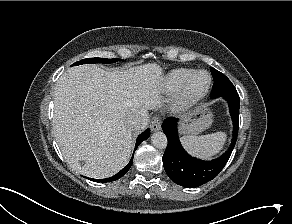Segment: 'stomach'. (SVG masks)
Wrapping results in <instances>:
<instances>
[{
	"instance_id": "obj_1",
	"label": "stomach",
	"mask_w": 292,
	"mask_h": 224,
	"mask_svg": "<svg viewBox=\"0 0 292 224\" xmlns=\"http://www.w3.org/2000/svg\"><path fill=\"white\" fill-rule=\"evenodd\" d=\"M213 123V112L209 103H201L183 115L181 133L196 135L208 129Z\"/></svg>"
}]
</instances>
